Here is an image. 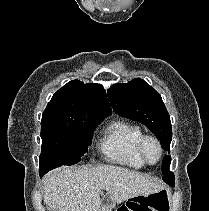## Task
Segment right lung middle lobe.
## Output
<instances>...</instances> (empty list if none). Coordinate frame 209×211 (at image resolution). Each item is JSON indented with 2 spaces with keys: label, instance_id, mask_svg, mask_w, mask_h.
<instances>
[{
  "label": "right lung middle lobe",
  "instance_id": "obj_1",
  "mask_svg": "<svg viewBox=\"0 0 209 211\" xmlns=\"http://www.w3.org/2000/svg\"><path fill=\"white\" fill-rule=\"evenodd\" d=\"M104 117L82 119L72 122H41L42 151L41 172L62 165H73L81 161L91 144L93 132Z\"/></svg>",
  "mask_w": 209,
  "mask_h": 211
}]
</instances>
